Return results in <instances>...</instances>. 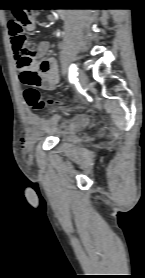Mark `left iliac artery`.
<instances>
[{
    "mask_svg": "<svg viewBox=\"0 0 145 278\" xmlns=\"http://www.w3.org/2000/svg\"><path fill=\"white\" fill-rule=\"evenodd\" d=\"M77 75H78L77 66L75 64H71L69 67V81L71 83L77 81L78 80Z\"/></svg>",
    "mask_w": 145,
    "mask_h": 278,
    "instance_id": "obj_1",
    "label": "left iliac artery"
}]
</instances>
